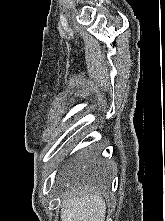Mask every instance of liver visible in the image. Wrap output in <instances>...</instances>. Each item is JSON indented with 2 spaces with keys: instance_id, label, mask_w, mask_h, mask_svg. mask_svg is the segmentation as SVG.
<instances>
[{
  "instance_id": "obj_1",
  "label": "liver",
  "mask_w": 165,
  "mask_h": 221,
  "mask_svg": "<svg viewBox=\"0 0 165 221\" xmlns=\"http://www.w3.org/2000/svg\"><path fill=\"white\" fill-rule=\"evenodd\" d=\"M106 204L101 195L81 193L63 200L62 221H104Z\"/></svg>"
}]
</instances>
